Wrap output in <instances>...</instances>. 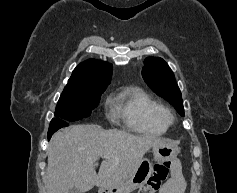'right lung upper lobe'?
I'll return each mask as SVG.
<instances>
[{
	"mask_svg": "<svg viewBox=\"0 0 237 193\" xmlns=\"http://www.w3.org/2000/svg\"><path fill=\"white\" fill-rule=\"evenodd\" d=\"M111 75V64L90 59L82 62L74 69L67 85L84 88H105L110 84Z\"/></svg>",
	"mask_w": 237,
	"mask_h": 193,
	"instance_id": "1",
	"label": "right lung upper lobe"
}]
</instances>
